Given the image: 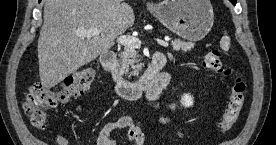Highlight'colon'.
<instances>
[{
    "instance_id": "5ec220e1",
    "label": "colon",
    "mask_w": 276,
    "mask_h": 145,
    "mask_svg": "<svg viewBox=\"0 0 276 145\" xmlns=\"http://www.w3.org/2000/svg\"><path fill=\"white\" fill-rule=\"evenodd\" d=\"M202 65L214 74L232 79L228 103L218 124L220 133L224 134L233 127L241 114L245 103L246 85L235 71L223 67L221 52L217 49L210 50L204 55ZM94 78V72L86 69L66 76L57 87H46L41 83L30 85L23 109L32 126L43 127L47 121L48 110L87 91Z\"/></svg>"
}]
</instances>
